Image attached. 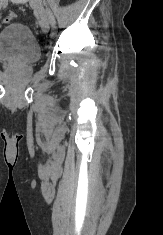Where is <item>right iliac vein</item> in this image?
I'll return each instance as SVG.
<instances>
[{
  "instance_id": "1",
  "label": "right iliac vein",
  "mask_w": 163,
  "mask_h": 235,
  "mask_svg": "<svg viewBox=\"0 0 163 235\" xmlns=\"http://www.w3.org/2000/svg\"><path fill=\"white\" fill-rule=\"evenodd\" d=\"M6 2V0H0V8Z\"/></svg>"
}]
</instances>
